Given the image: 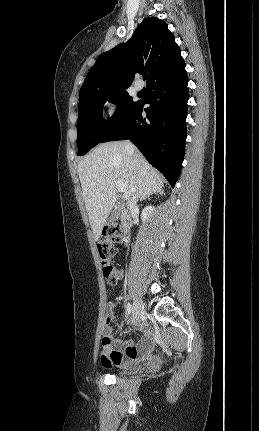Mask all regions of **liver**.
Masks as SVG:
<instances>
[{
	"mask_svg": "<svg viewBox=\"0 0 259 431\" xmlns=\"http://www.w3.org/2000/svg\"><path fill=\"white\" fill-rule=\"evenodd\" d=\"M78 174L95 240L99 239L116 203L115 181L125 185L123 198L128 201L133 195L142 200L146 195L160 192L164 186L163 176L144 156L135 148L133 153L128 152L121 141L95 147L79 161Z\"/></svg>",
	"mask_w": 259,
	"mask_h": 431,
	"instance_id": "liver-1",
	"label": "liver"
}]
</instances>
